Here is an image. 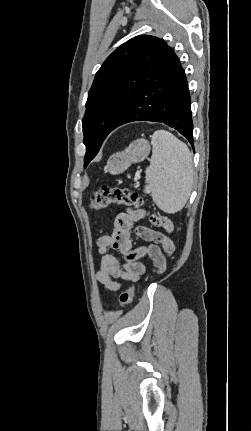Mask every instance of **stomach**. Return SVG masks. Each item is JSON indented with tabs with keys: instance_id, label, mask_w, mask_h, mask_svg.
Listing matches in <instances>:
<instances>
[{
	"instance_id": "obj_1",
	"label": "stomach",
	"mask_w": 251,
	"mask_h": 431,
	"mask_svg": "<svg viewBox=\"0 0 251 431\" xmlns=\"http://www.w3.org/2000/svg\"><path fill=\"white\" fill-rule=\"evenodd\" d=\"M149 153V142L145 139H137L125 151L113 154L107 162L105 171L113 175L120 174L132 163L143 161Z\"/></svg>"
}]
</instances>
